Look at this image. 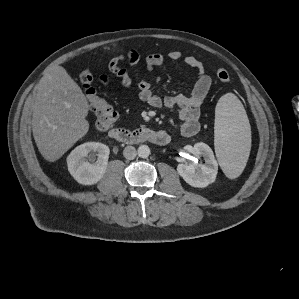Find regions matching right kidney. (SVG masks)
Masks as SVG:
<instances>
[{"instance_id":"obj_1","label":"right kidney","mask_w":299,"mask_h":299,"mask_svg":"<svg viewBox=\"0 0 299 299\" xmlns=\"http://www.w3.org/2000/svg\"><path fill=\"white\" fill-rule=\"evenodd\" d=\"M109 153V147L105 144L99 142L83 143L68 155V171L82 185L96 184L105 174Z\"/></svg>"}]
</instances>
